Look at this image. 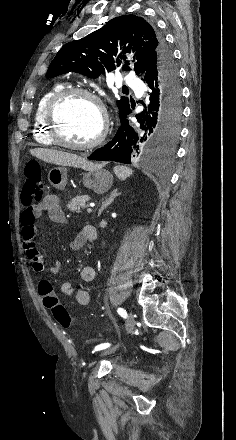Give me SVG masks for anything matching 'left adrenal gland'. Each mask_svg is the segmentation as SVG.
Masks as SVG:
<instances>
[{"label":"left adrenal gland","mask_w":236,"mask_h":440,"mask_svg":"<svg viewBox=\"0 0 236 440\" xmlns=\"http://www.w3.org/2000/svg\"><path fill=\"white\" fill-rule=\"evenodd\" d=\"M119 195H120V192H118V189H114L111 192L108 199H106L105 201H104V199H102L103 202H102L101 208L98 211V216H100L101 213L103 212V210L106 209L114 201V199Z\"/></svg>","instance_id":"a2214340"}]
</instances>
